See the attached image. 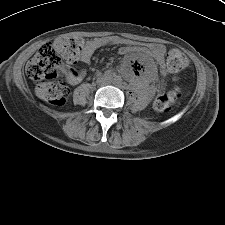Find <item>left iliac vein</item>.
Listing matches in <instances>:
<instances>
[{
    "label": "left iliac vein",
    "instance_id": "left-iliac-vein-1",
    "mask_svg": "<svg viewBox=\"0 0 225 225\" xmlns=\"http://www.w3.org/2000/svg\"><path fill=\"white\" fill-rule=\"evenodd\" d=\"M108 83H114V84H119L121 82H118L116 79H107Z\"/></svg>",
    "mask_w": 225,
    "mask_h": 225
}]
</instances>
